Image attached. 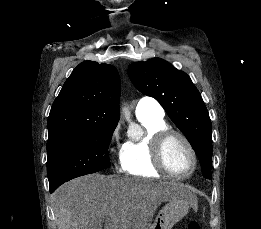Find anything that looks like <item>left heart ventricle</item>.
<instances>
[{
	"label": "left heart ventricle",
	"instance_id": "obj_1",
	"mask_svg": "<svg viewBox=\"0 0 261 229\" xmlns=\"http://www.w3.org/2000/svg\"><path fill=\"white\" fill-rule=\"evenodd\" d=\"M166 160L169 167L178 174H184L192 167V157L187 146L178 138L166 147Z\"/></svg>",
	"mask_w": 261,
	"mask_h": 229
}]
</instances>
